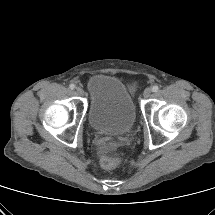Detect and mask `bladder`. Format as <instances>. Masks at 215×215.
<instances>
[{"mask_svg": "<svg viewBox=\"0 0 215 215\" xmlns=\"http://www.w3.org/2000/svg\"><path fill=\"white\" fill-rule=\"evenodd\" d=\"M88 120L102 134L124 135L136 120V107L126 86L117 78L96 74L87 83Z\"/></svg>", "mask_w": 215, "mask_h": 215, "instance_id": "1", "label": "bladder"}]
</instances>
